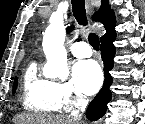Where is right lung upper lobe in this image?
<instances>
[{"label":"right lung upper lobe","instance_id":"right-lung-upper-lobe-1","mask_svg":"<svg viewBox=\"0 0 145 124\" xmlns=\"http://www.w3.org/2000/svg\"><path fill=\"white\" fill-rule=\"evenodd\" d=\"M101 1H102L101 7L93 15V19L95 21L101 22L104 25L107 34L115 30L116 21L114 13L111 10L110 5H108V0Z\"/></svg>","mask_w":145,"mask_h":124}]
</instances>
